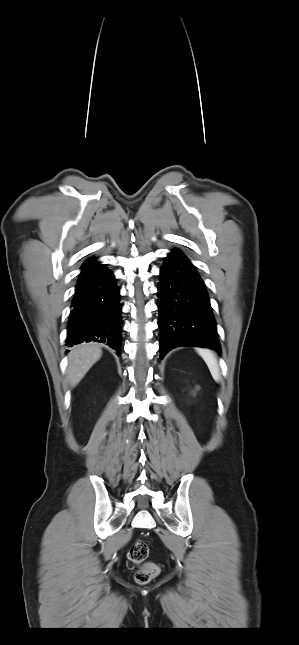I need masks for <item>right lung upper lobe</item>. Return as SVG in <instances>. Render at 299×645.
Wrapping results in <instances>:
<instances>
[{"instance_id": "cb5924a9", "label": "right lung upper lobe", "mask_w": 299, "mask_h": 645, "mask_svg": "<svg viewBox=\"0 0 299 645\" xmlns=\"http://www.w3.org/2000/svg\"><path fill=\"white\" fill-rule=\"evenodd\" d=\"M90 260H92V259H91V258H89V259H87V260H86V262H88V261H90Z\"/></svg>"}]
</instances>
